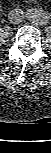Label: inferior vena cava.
<instances>
[{
	"instance_id": "obj_1",
	"label": "inferior vena cava",
	"mask_w": 51,
	"mask_h": 153,
	"mask_svg": "<svg viewBox=\"0 0 51 153\" xmlns=\"http://www.w3.org/2000/svg\"><path fill=\"white\" fill-rule=\"evenodd\" d=\"M24 19V13L21 9L11 10L8 14V20L12 24H19Z\"/></svg>"
}]
</instances>
